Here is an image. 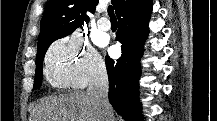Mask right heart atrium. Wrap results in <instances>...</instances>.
<instances>
[{
	"instance_id": "d8ad5b80",
	"label": "right heart atrium",
	"mask_w": 217,
	"mask_h": 121,
	"mask_svg": "<svg viewBox=\"0 0 217 121\" xmlns=\"http://www.w3.org/2000/svg\"><path fill=\"white\" fill-rule=\"evenodd\" d=\"M45 74L56 88H83L106 75L101 55L78 34L55 41L45 56Z\"/></svg>"
}]
</instances>
